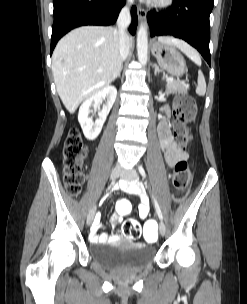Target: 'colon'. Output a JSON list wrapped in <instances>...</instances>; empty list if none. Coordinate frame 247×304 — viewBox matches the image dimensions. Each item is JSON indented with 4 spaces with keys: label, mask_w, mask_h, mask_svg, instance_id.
<instances>
[{
    "label": "colon",
    "mask_w": 247,
    "mask_h": 304,
    "mask_svg": "<svg viewBox=\"0 0 247 304\" xmlns=\"http://www.w3.org/2000/svg\"><path fill=\"white\" fill-rule=\"evenodd\" d=\"M174 128L179 139L180 146L185 148L189 143L188 125L194 119L197 106L194 99L186 94H181L175 101ZM86 148L80 132L73 128L68 132L63 149V177L67 190L77 195L84 182V158ZM191 180V173L185 160L181 159L175 165L173 185L178 191H183ZM116 209L121 215H128L132 206L126 199H121L116 204ZM124 234L131 239L138 238L142 233V227L136 220H128L123 225ZM144 237L147 246H154V238L158 237L156 225L148 223Z\"/></svg>",
    "instance_id": "1"
}]
</instances>
